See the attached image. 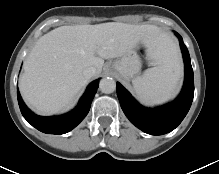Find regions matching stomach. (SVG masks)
<instances>
[{"label":"stomach","mask_w":219,"mask_h":174,"mask_svg":"<svg viewBox=\"0 0 219 174\" xmlns=\"http://www.w3.org/2000/svg\"><path fill=\"white\" fill-rule=\"evenodd\" d=\"M112 69L125 79H131L141 70V60L135 50H130L116 60Z\"/></svg>","instance_id":"stomach-1"}]
</instances>
